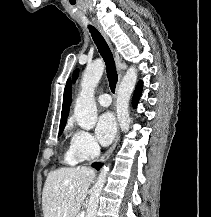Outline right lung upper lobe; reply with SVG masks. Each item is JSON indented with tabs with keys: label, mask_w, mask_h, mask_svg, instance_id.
I'll list each match as a JSON object with an SVG mask.
<instances>
[{
	"label": "right lung upper lobe",
	"mask_w": 211,
	"mask_h": 217,
	"mask_svg": "<svg viewBox=\"0 0 211 217\" xmlns=\"http://www.w3.org/2000/svg\"><path fill=\"white\" fill-rule=\"evenodd\" d=\"M71 96H72V91H71V80L68 79L66 83V87L64 90V96H63V106H62V113H61V122H60V128H64L67 117H68V112L71 104Z\"/></svg>",
	"instance_id": "1"
}]
</instances>
